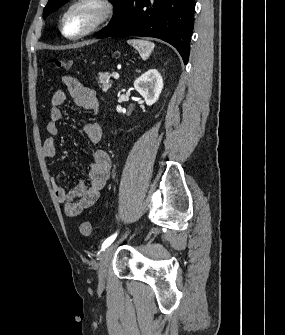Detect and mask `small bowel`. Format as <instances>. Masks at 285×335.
Here are the masks:
<instances>
[{
    "mask_svg": "<svg viewBox=\"0 0 285 335\" xmlns=\"http://www.w3.org/2000/svg\"><path fill=\"white\" fill-rule=\"evenodd\" d=\"M62 81L77 106L93 114L97 113L99 102L94 90L85 87L71 76L63 77ZM66 98L65 91L57 90L51 99L50 120L46 126L48 137L42 145L43 155L47 159H53L56 154L55 137L59 133V123L64 118L61 107L65 104ZM83 132L93 144H97L102 135L100 126L92 120L83 125ZM111 168L112 161L109 154L102 149H95L88 166L87 179L80 182L71 193H68L55 178H51L55 197L64 204V213L67 217L75 218L97 202L101 190L109 179Z\"/></svg>",
    "mask_w": 285,
    "mask_h": 335,
    "instance_id": "c3829d8e",
    "label": "small bowel"
}]
</instances>
